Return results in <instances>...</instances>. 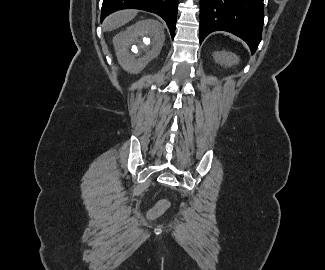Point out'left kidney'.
<instances>
[{"instance_id":"5707ae66","label":"left kidney","mask_w":325,"mask_h":270,"mask_svg":"<svg viewBox=\"0 0 325 270\" xmlns=\"http://www.w3.org/2000/svg\"><path fill=\"white\" fill-rule=\"evenodd\" d=\"M213 58L214 60L219 63L220 65L224 66H232L234 64H238L239 58L231 53V52H226V51H217L213 53Z\"/></svg>"}]
</instances>
